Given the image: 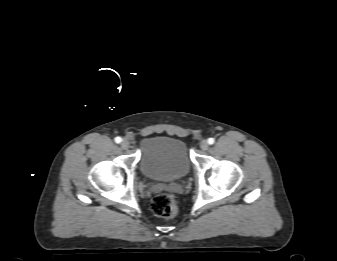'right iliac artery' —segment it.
Listing matches in <instances>:
<instances>
[{
    "mask_svg": "<svg viewBox=\"0 0 337 261\" xmlns=\"http://www.w3.org/2000/svg\"><path fill=\"white\" fill-rule=\"evenodd\" d=\"M121 141H122L121 137H116V138H115V142H116V143H120Z\"/></svg>",
    "mask_w": 337,
    "mask_h": 261,
    "instance_id": "1",
    "label": "right iliac artery"
}]
</instances>
